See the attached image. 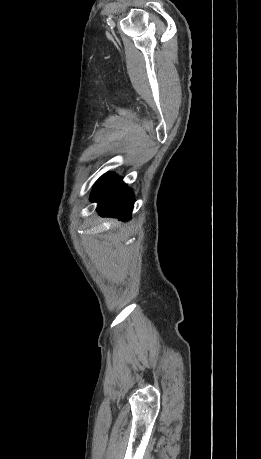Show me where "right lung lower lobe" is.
Instances as JSON below:
<instances>
[{
    "label": "right lung lower lobe",
    "instance_id": "1",
    "mask_svg": "<svg viewBox=\"0 0 261 459\" xmlns=\"http://www.w3.org/2000/svg\"><path fill=\"white\" fill-rule=\"evenodd\" d=\"M91 201L99 203L97 211L101 216L127 221L133 209L134 196L122 180L113 175L92 194Z\"/></svg>",
    "mask_w": 261,
    "mask_h": 459
}]
</instances>
